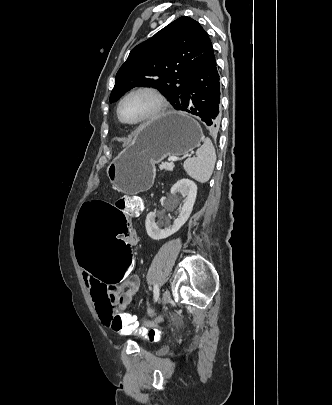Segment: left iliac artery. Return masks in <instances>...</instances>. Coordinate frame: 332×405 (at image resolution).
<instances>
[{"instance_id": "1", "label": "left iliac artery", "mask_w": 332, "mask_h": 405, "mask_svg": "<svg viewBox=\"0 0 332 405\" xmlns=\"http://www.w3.org/2000/svg\"><path fill=\"white\" fill-rule=\"evenodd\" d=\"M153 293H154V301L156 302L159 299L160 294V290L157 284L154 285Z\"/></svg>"}]
</instances>
